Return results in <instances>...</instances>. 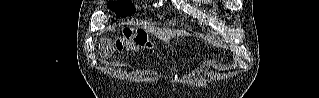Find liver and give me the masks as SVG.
Listing matches in <instances>:
<instances>
[{"instance_id": "1", "label": "liver", "mask_w": 319, "mask_h": 98, "mask_svg": "<svg viewBox=\"0 0 319 98\" xmlns=\"http://www.w3.org/2000/svg\"><path fill=\"white\" fill-rule=\"evenodd\" d=\"M152 33H154L159 39L161 40H168L171 37H179V36H183L186 35L185 33L182 32H178V31H174V30H170V29H160V28H148Z\"/></svg>"}]
</instances>
